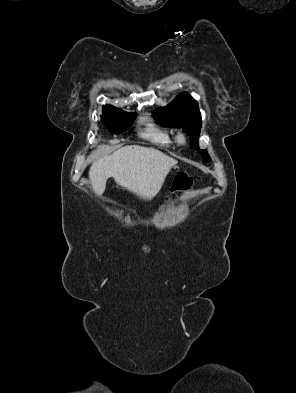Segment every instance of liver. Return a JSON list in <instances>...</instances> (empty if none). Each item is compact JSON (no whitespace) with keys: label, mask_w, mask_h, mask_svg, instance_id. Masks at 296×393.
<instances>
[{"label":"liver","mask_w":296,"mask_h":393,"mask_svg":"<svg viewBox=\"0 0 296 393\" xmlns=\"http://www.w3.org/2000/svg\"><path fill=\"white\" fill-rule=\"evenodd\" d=\"M176 164L175 159L157 149L125 146L94 161L89 169V178L98 196L104 193L107 179L113 177L119 186L144 200H151Z\"/></svg>","instance_id":"obj_1"}]
</instances>
